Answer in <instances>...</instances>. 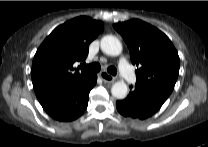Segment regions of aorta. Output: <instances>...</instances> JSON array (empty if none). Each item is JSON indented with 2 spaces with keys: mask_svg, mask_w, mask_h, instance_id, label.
I'll use <instances>...</instances> for the list:
<instances>
[{
  "mask_svg": "<svg viewBox=\"0 0 208 147\" xmlns=\"http://www.w3.org/2000/svg\"><path fill=\"white\" fill-rule=\"evenodd\" d=\"M101 50L110 56H118L122 52V44L112 35L104 36L100 41ZM112 95L117 99H124L128 94V87L124 81H118L111 88Z\"/></svg>",
  "mask_w": 208,
  "mask_h": 147,
  "instance_id": "1",
  "label": "aorta"
}]
</instances>
